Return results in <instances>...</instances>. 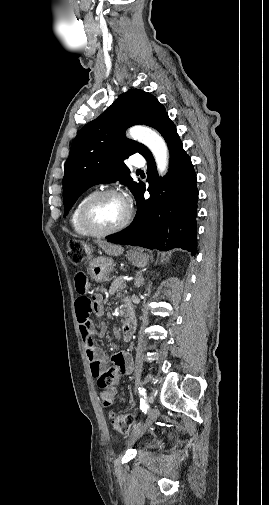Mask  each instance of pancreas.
Segmentation results:
<instances>
[{
    "label": "pancreas",
    "mask_w": 269,
    "mask_h": 505,
    "mask_svg": "<svg viewBox=\"0 0 269 505\" xmlns=\"http://www.w3.org/2000/svg\"><path fill=\"white\" fill-rule=\"evenodd\" d=\"M123 285H124L123 278L119 277V278L115 279L110 286L109 293L111 295L117 293L119 290H121L123 288Z\"/></svg>",
    "instance_id": "obj_1"
}]
</instances>
